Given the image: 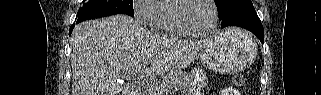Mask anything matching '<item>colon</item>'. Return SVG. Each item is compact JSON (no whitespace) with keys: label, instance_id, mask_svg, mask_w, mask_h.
Masks as SVG:
<instances>
[{"label":"colon","instance_id":"1","mask_svg":"<svg viewBox=\"0 0 321 95\" xmlns=\"http://www.w3.org/2000/svg\"><path fill=\"white\" fill-rule=\"evenodd\" d=\"M232 82L235 86H242L245 82V78L242 74H235L232 78Z\"/></svg>","mask_w":321,"mask_h":95}]
</instances>
